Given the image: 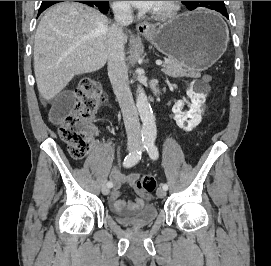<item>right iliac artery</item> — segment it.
I'll return each instance as SVG.
<instances>
[{
    "label": "right iliac artery",
    "mask_w": 271,
    "mask_h": 266,
    "mask_svg": "<svg viewBox=\"0 0 271 266\" xmlns=\"http://www.w3.org/2000/svg\"><path fill=\"white\" fill-rule=\"evenodd\" d=\"M147 141L143 142L140 150L130 152L124 159L123 166L126 168H130L134 166L139 159H141V153L147 148ZM107 185L111 188L113 183L111 181L107 182Z\"/></svg>",
    "instance_id": "right-iliac-artery-1"
}]
</instances>
